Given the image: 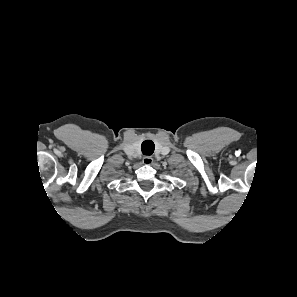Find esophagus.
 <instances>
[{
  "label": "esophagus",
  "instance_id": "esophagus-1",
  "mask_svg": "<svg viewBox=\"0 0 297 297\" xmlns=\"http://www.w3.org/2000/svg\"><path fill=\"white\" fill-rule=\"evenodd\" d=\"M153 158L152 157H150V156H145V157H143V159H142V162H143V164H145V165H151L152 163H153Z\"/></svg>",
  "mask_w": 297,
  "mask_h": 297
}]
</instances>
